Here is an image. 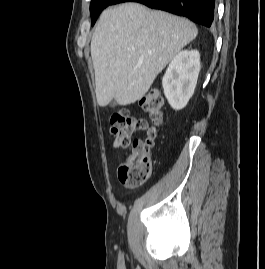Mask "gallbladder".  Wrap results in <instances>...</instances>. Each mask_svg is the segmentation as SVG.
<instances>
[{
    "label": "gallbladder",
    "mask_w": 265,
    "mask_h": 269,
    "mask_svg": "<svg viewBox=\"0 0 265 269\" xmlns=\"http://www.w3.org/2000/svg\"><path fill=\"white\" fill-rule=\"evenodd\" d=\"M110 106H111V107H115V106H116V102H115V100H112V101H111Z\"/></svg>",
    "instance_id": "1"
}]
</instances>
